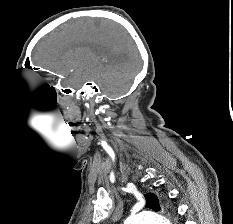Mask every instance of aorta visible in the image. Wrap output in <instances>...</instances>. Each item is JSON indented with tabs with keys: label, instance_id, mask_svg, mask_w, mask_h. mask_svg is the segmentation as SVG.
Listing matches in <instances>:
<instances>
[{
	"label": "aorta",
	"instance_id": "1",
	"mask_svg": "<svg viewBox=\"0 0 233 224\" xmlns=\"http://www.w3.org/2000/svg\"><path fill=\"white\" fill-rule=\"evenodd\" d=\"M124 224H171L170 221L153 212H140L129 216Z\"/></svg>",
	"mask_w": 233,
	"mask_h": 224
}]
</instances>
